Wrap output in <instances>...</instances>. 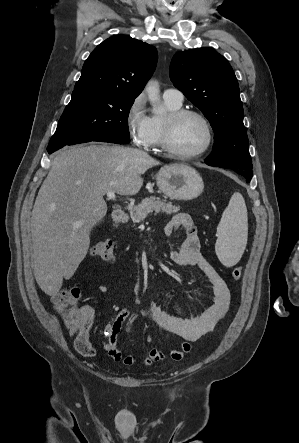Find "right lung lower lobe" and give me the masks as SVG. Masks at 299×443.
Listing matches in <instances>:
<instances>
[{
  "label": "right lung lower lobe",
  "mask_w": 299,
  "mask_h": 443,
  "mask_svg": "<svg viewBox=\"0 0 299 443\" xmlns=\"http://www.w3.org/2000/svg\"><path fill=\"white\" fill-rule=\"evenodd\" d=\"M90 141L109 142V143H116V144H126L127 143V142H125L121 139H118L116 137H113V136H95V137H90V138L79 139V140H76L72 143L65 144V145H74V144L85 143V142H90ZM65 145L48 146L47 151L49 154H51V153L55 152L56 150L64 147Z\"/></svg>",
  "instance_id": "98d812e1"
}]
</instances>
